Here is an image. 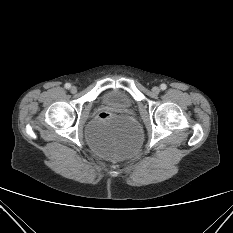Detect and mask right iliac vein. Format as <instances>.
I'll list each match as a JSON object with an SVG mask.
<instances>
[{"label":"right iliac vein","instance_id":"obj_1","mask_svg":"<svg viewBox=\"0 0 233 233\" xmlns=\"http://www.w3.org/2000/svg\"><path fill=\"white\" fill-rule=\"evenodd\" d=\"M70 91L72 93H76L77 92V88L75 86H72L71 89H70Z\"/></svg>","mask_w":233,"mask_h":233}]
</instances>
